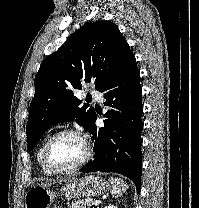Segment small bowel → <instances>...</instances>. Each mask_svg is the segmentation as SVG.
<instances>
[{
    "label": "small bowel",
    "instance_id": "c3829d8e",
    "mask_svg": "<svg viewBox=\"0 0 199 208\" xmlns=\"http://www.w3.org/2000/svg\"><path fill=\"white\" fill-rule=\"evenodd\" d=\"M53 208H63L62 206H55V207H53Z\"/></svg>",
    "mask_w": 199,
    "mask_h": 208
}]
</instances>
